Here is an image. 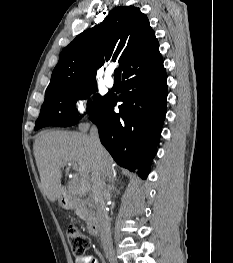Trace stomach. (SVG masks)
I'll return each mask as SVG.
<instances>
[{
    "label": "stomach",
    "mask_w": 233,
    "mask_h": 263,
    "mask_svg": "<svg viewBox=\"0 0 233 263\" xmlns=\"http://www.w3.org/2000/svg\"><path fill=\"white\" fill-rule=\"evenodd\" d=\"M58 202H59V205L63 208H69V206H70L69 200L66 196H61L58 199Z\"/></svg>",
    "instance_id": "stomach-1"
}]
</instances>
